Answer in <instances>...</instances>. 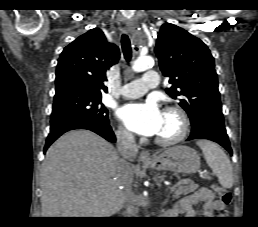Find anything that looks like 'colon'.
<instances>
[{"label": "colon", "instance_id": "5ec220e1", "mask_svg": "<svg viewBox=\"0 0 258 227\" xmlns=\"http://www.w3.org/2000/svg\"><path fill=\"white\" fill-rule=\"evenodd\" d=\"M214 190L219 194L223 205H229L232 202V194L228 190L220 187H215Z\"/></svg>", "mask_w": 258, "mask_h": 227}]
</instances>
